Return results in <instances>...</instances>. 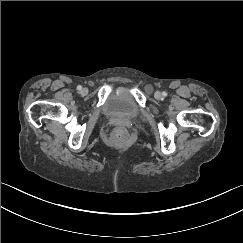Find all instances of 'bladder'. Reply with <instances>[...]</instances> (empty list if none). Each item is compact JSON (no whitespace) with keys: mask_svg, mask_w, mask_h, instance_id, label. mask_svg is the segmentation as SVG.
<instances>
[{"mask_svg":"<svg viewBox=\"0 0 243 243\" xmlns=\"http://www.w3.org/2000/svg\"><path fill=\"white\" fill-rule=\"evenodd\" d=\"M104 116L111 119L135 120L142 117V110L130 85L111 92L101 106Z\"/></svg>","mask_w":243,"mask_h":243,"instance_id":"obj_1","label":"bladder"}]
</instances>
